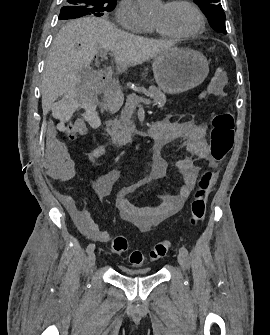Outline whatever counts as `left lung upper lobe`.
Instances as JSON below:
<instances>
[{
  "label": "left lung upper lobe",
  "mask_w": 270,
  "mask_h": 335,
  "mask_svg": "<svg viewBox=\"0 0 270 335\" xmlns=\"http://www.w3.org/2000/svg\"><path fill=\"white\" fill-rule=\"evenodd\" d=\"M208 18L211 27L223 34H227L225 27V13L219 0H193Z\"/></svg>",
  "instance_id": "obj_1"
}]
</instances>
